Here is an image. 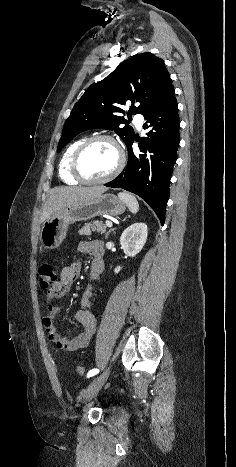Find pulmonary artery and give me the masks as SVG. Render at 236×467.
<instances>
[{
  "instance_id": "obj_1",
  "label": "pulmonary artery",
  "mask_w": 236,
  "mask_h": 467,
  "mask_svg": "<svg viewBox=\"0 0 236 467\" xmlns=\"http://www.w3.org/2000/svg\"><path fill=\"white\" fill-rule=\"evenodd\" d=\"M134 122H135V125L138 129H141L142 128V125H143V122H144V117L142 114H136L134 116Z\"/></svg>"
}]
</instances>
